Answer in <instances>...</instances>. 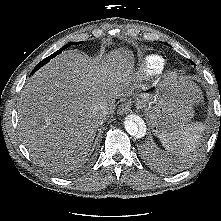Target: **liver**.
I'll return each instance as SVG.
<instances>
[{
  "mask_svg": "<svg viewBox=\"0 0 221 221\" xmlns=\"http://www.w3.org/2000/svg\"><path fill=\"white\" fill-rule=\"evenodd\" d=\"M130 51L119 49L106 59L88 60L66 51L50 61L25 85L19 102V131L32 157L40 162L75 166L90 151L102 106L133 94ZM191 100L199 90L183 85Z\"/></svg>",
  "mask_w": 221,
  "mask_h": 221,
  "instance_id": "6515ba94",
  "label": "liver"
}]
</instances>
